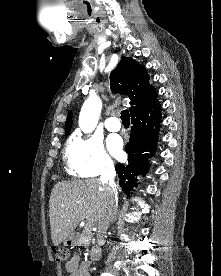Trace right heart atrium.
<instances>
[{"mask_svg":"<svg viewBox=\"0 0 221 276\" xmlns=\"http://www.w3.org/2000/svg\"><path fill=\"white\" fill-rule=\"evenodd\" d=\"M65 157L70 173L82 178L102 175L113 168V162L102 142L94 137H73Z\"/></svg>","mask_w":221,"mask_h":276,"instance_id":"obj_1","label":"right heart atrium"}]
</instances>
